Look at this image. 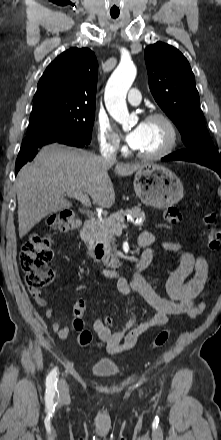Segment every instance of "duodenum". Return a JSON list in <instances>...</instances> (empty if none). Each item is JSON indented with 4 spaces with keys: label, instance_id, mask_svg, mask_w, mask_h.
<instances>
[{
    "label": "duodenum",
    "instance_id": "410a0bca",
    "mask_svg": "<svg viewBox=\"0 0 221 440\" xmlns=\"http://www.w3.org/2000/svg\"><path fill=\"white\" fill-rule=\"evenodd\" d=\"M95 227H96V219L93 218L86 221L80 232L81 238L83 240H87L94 232ZM149 264H150L149 259H143L136 264V269L137 270L145 269L149 266ZM117 270H118L117 265H114L106 269L104 273L109 277H113L117 273Z\"/></svg>",
    "mask_w": 221,
    "mask_h": 440
}]
</instances>
